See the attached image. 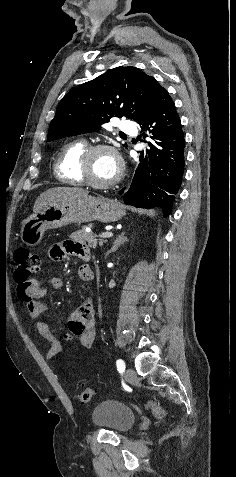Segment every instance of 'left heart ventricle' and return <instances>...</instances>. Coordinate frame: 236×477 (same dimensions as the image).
<instances>
[{"mask_svg":"<svg viewBox=\"0 0 236 477\" xmlns=\"http://www.w3.org/2000/svg\"><path fill=\"white\" fill-rule=\"evenodd\" d=\"M118 162L109 151H100L92 156L89 162L90 177L96 182H107L118 172Z\"/></svg>","mask_w":236,"mask_h":477,"instance_id":"obj_1","label":"left heart ventricle"}]
</instances>
